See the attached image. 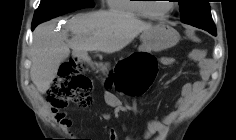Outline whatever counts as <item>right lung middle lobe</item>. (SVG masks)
<instances>
[{
  "label": "right lung middle lobe",
  "mask_w": 236,
  "mask_h": 140,
  "mask_svg": "<svg viewBox=\"0 0 236 140\" xmlns=\"http://www.w3.org/2000/svg\"><path fill=\"white\" fill-rule=\"evenodd\" d=\"M94 6L93 0H41L34 13L32 25H38L57 16Z\"/></svg>",
  "instance_id": "obj_1"
}]
</instances>
